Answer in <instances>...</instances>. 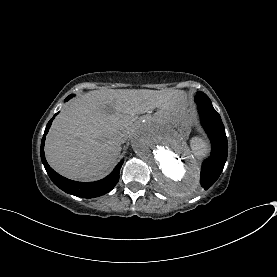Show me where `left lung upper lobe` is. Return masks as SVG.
I'll list each match as a JSON object with an SVG mask.
<instances>
[{
    "instance_id": "left-lung-upper-lobe-1",
    "label": "left lung upper lobe",
    "mask_w": 277,
    "mask_h": 277,
    "mask_svg": "<svg viewBox=\"0 0 277 277\" xmlns=\"http://www.w3.org/2000/svg\"><path fill=\"white\" fill-rule=\"evenodd\" d=\"M195 101L197 103H205V104H209L212 105L211 100L208 98V96L203 93V92H197L196 96H195Z\"/></svg>"
}]
</instances>
